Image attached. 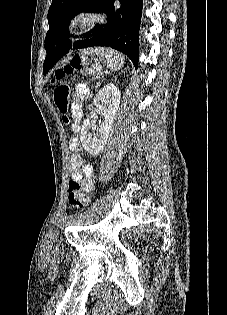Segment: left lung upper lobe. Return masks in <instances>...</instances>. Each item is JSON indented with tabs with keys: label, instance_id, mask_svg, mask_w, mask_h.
Masks as SVG:
<instances>
[{
	"label": "left lung upper lobe",
	"instance_id": "1",
	"mask_svg": "<svg viewBox=\"0 0 227 315\" xmlns=\"http://www.w3.org/2000/svg\"><path fill=\"white\" fill-rule=\"evenodd\" d=\"M108 1L109 0H52L48 11L49 31L46 34L45 43L52 38L63 39L67 45L71 46V41L67 39L69 21L81 12H102ZM78 42L79 41H76L75 43Z\"/></svg>",
	"mask_w": 227,
	"mask_h": 315
}]
</instances>
